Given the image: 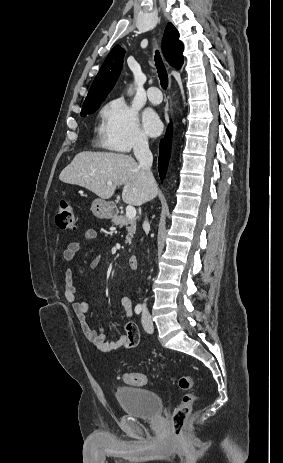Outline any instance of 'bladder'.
Listing matches in <instances>:
<instances>
[{
	"mask_svg": "<svg viewBox=\"0 0 283 463\" xmlns=\"http://www.w3.org/2000/svg\"><path fill=\"white\" fill-rule=\"evenodd\" d=\"M115 398L123 412L138 418L154 419L162 412L160 396L140 387H121L115 391Z\"/></svg>",
	"mask_w": 283,
	"mask_h": 463,
	"instance_id": "1",
	"label": "bladder"
}]
</instances>
